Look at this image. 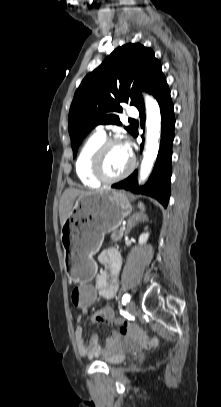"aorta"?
<instances>
[{
    "mask_svg": "<svg viewBox=\"0 0 221 407\" xmlns=\"http://www.w3.org/2000/svg\"><path fill=\"white\" fill-rule=\"evenodd\" d=\"M146 106V145L140 169L139 183H143L151 173L159 151V138L161 134V114L157 101L145 95Z\"/></svg>",
    "mask_w": 221,
    "mask_h": 407,
    "instance_id": "762f6f07",
    "label": "aorta"
}]
</instances>
